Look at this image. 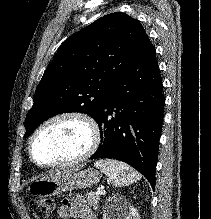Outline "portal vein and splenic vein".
Wrapping results in <instances>:
<instances>
[{
	"label": "portal vein and splenic vein",
	"instance_id": "1",
	"mask_svg": "<svg viewBox=\"0 0 211 219\" xmlns=\"http://www.w3.org/2000/svg\"><path fill=\"white\" fill-rule=\"evenodd\" d=\"M97 195L105 194V191L102 189H98L96 192Z\"/></svg>",
	"mask_w": 211,
	"mask_h": 219
}]
</instances>
